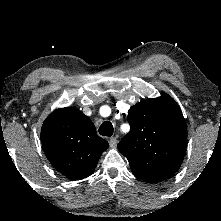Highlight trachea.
Listing matches in <instances>:
<instances>
[{
  "instance_id": "1",
  "label": "trachea",
  "mask_w": 221,
  "mask_h": 221,
  "mask_svg": "<svg viewBox=\"0 0 221 221\" xmlns=\"http://www.w3.org/2000/svg\"><path fill=\"white\" fill-rule=\"evenodd\" d=\"M114 132V128L111 122L105 121L99 127V134L102 136H112Z\"/></svg>"
}]
</instances>
